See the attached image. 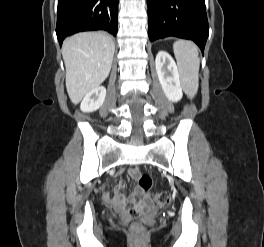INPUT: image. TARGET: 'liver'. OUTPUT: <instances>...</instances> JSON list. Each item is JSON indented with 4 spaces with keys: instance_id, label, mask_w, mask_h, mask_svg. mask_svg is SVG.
<instances>
[{
    "instance_id": "liver-1",
    "label": "liver",
    "mask_w": 264,
    "mask_h": 247,
    "mask_svg": "<svg viewBox=\"0 0 264 247\" xmlns=\"http://www.w3.org/2000/svg\"><path fill=\"white\" fill-rule=\"evenodd\" d=\"M115 45L101 32H83L64 41L62 56L66 67V89L73 104L108 77Z\"/></svg>"
}]
</instances>
